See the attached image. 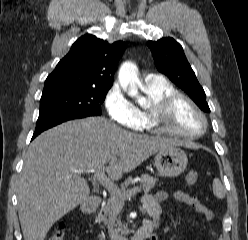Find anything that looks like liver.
Segmentation results:
<instances>
[{"label":"liver","instance_id":"6515ba94","mask_svg":"<svg viewBox=\"0 0 248 240\" xmlns=\"http://www.w3.org/2000/svg\"><path fill=\"white\" fill-rule=\"evenodd\" d=\"M182 142L139 135L102 117L68 121L39 135L30 145L18 186L24 240H44L52 225L89 200L80 170L106 166L119 180L151 155Z\"/></svg>","mask_w":248,"mask_h":240}]
</instances>
